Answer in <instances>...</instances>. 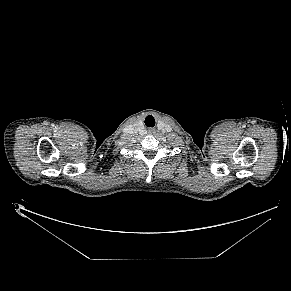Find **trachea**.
Masks as SVG:
<instances>
[{
	"instance_id": "trachea-1",
	"label": "trachea",
	"mask_w": 291,
	"mask_h": 291,
	"mask_svg": "<svg viewBox=\"0 0 291 291\" xmlns=\"http://www.w3.org/2000/svg\"><path fill=\"white\" fill-rule=\"evenodd\" d=\"M145 122H146V120H145ZM145 124H146V123H145ZM152 124H153V125H147V126H148V127H150V126L153 127V126L155 125V121H154V123H153V121H152Z\"/></svg>"
}]
</instances>
